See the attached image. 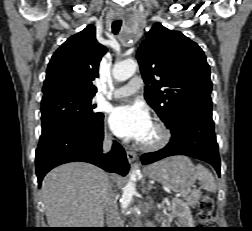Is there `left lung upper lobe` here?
<instances>
[{"label":"left lung upper lobe","instance_id":"1","mask_svg":"<svg viewBox=\"0 0 252 231\" xmlns=\"http://www.w3.org/2000/svg\"><path fill=\"white\" fill-rule=\"evenodd\" d=\"M136 56L145 99L165 124L187 108L212 110L210 68L197 43L156 23Z\"/></svg>","mask_w":252,"mask_h":231}]
</instances>
